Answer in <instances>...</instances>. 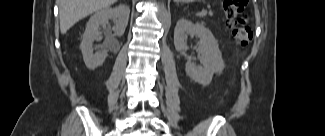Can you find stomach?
Here are the masks:
<instances>
[{
	"label": "stomach",
	"mask_w": 325,
	"mask_h": 136,
	"mask_svg": "<svg viewBox=\"0 0 325 136\" xmlns=\"http://www.w3.org/2000/svg\"><path fill=\"white\" fill-rule=\"evenodd\" d=\"M182 1H184V2H189L190 0H182Z\"/></svg>",
	"instance_id": "obj_1"
}]
</instances>
